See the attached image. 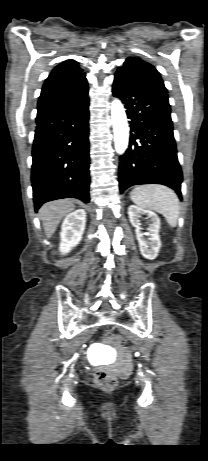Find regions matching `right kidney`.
<instances>
[{"instance_id": "obj_1", "label": "right kidney", "mask_w": 208, "mask_h": 461, "mask_svg": "<svg viewBox=\"0 0 208 461\" xmlns=\"http://www.w3.org/2000/svg\"><path fill=\"white\" fill-rule=\"evenodd\" d=\"M86 212L78 209L71 212L64 219L61 226V242L59 250L62 254L68 253L73 247L79 244L85 230Z\"/></svg>"}]
</instances>
